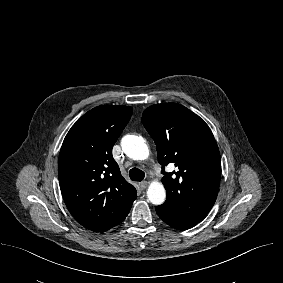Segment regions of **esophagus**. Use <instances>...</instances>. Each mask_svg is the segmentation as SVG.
<instances>
[{
	"mask_svg": "<svg viewBox=\"0 0 283 283\" xmlns=\"http://www.w3.org/2000/svg\"><path fill=\"white\" fill-rule=\"evenodd\" d=\"M139 186L142 190L146 189L148 186V182L147 181H143L139 183Z\"/></svg>",
	"mask_w": 283,
	"mask_h": 283,
	"instance_id": "esophagus-1",
	"label": "esophagus"
}]
</instances>
